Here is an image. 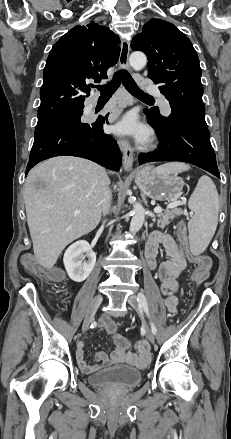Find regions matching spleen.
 Masks as SVG:
<instances>
[{
    "label": "spleen",
    "mask_w": 231,
    "mask_h": 439,
    "mask_svg": "<svg viewBox=\"0 0 231 439\" xmlns=\"http://www.w3.org/2000/svg\"><path fill=\"white\" fill-rule=\"evenodd\" d=\"M189 168L183 163H166L156 170L166 174H178ZM188 206L194 212L188 222L190 249L194 255H199L209 245L218 224L219 197L210 177L204 175L199 179Z\"/></svg>",
    "instance_id": "1"
}]
</instances>
